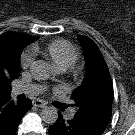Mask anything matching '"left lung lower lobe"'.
I'll return each instance as SVG.
<instances>
[{
    "label": "left lung lower lobe",
    "mask_w": 135,
    "mask_h": 135,
    "mask_svg": "<svg viewBox=\"0 0 135 135\" xmlns=\"http://www.w3.org/2000/svg\"><path fill=\"white\" fill-rule=\"evenodd\" d=\"M107 124L89 119L86 116H77L65 120L59 112L57 121L50 126V135H101Z\"/></svg>",
    "instance_id": "obj_1"
}]
</instances>
